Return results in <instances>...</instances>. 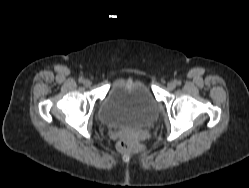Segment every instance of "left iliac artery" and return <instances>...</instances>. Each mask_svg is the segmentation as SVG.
Listing matches in <instances>:
<instances>
[{"label":"left iliac artery","instance_id":"left-iliac-artery-1","mask_svg":"<svg viewBox=\"0 0 249 188\" xmlns=\"http://www.w3.org/2000/svg\"><path fill=\"white\" fill-rule=\"evenodd\" d=\"M175 84H176V85H180L181 82H180V81H176Z\"/></svg>","mask_w":249,"mask_h":188}]
</instances>
